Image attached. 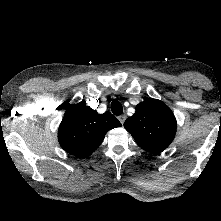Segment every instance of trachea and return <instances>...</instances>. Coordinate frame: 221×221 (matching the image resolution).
I'll return each instance as SVG.
<instances>
[{"label":"trachea","mask_w":221,"mask_h":221,"mask_svg":"<svg viewBox=\"0 0 221 221\" xmlns=\"http://www.w3.org/2000/svg\"><path fill=\"white\" fill-rule=\"evenodd\" d=\"M111 111L114 115H121L123 113V107L117 100H113L111 103Z\"/></svg>","instance_id":"trachea-1"}]
</instances>
